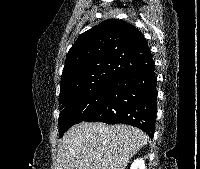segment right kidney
Segmentation results:
<instances>
[{
	"instance_id": "1",
	"label": "right kidney",
	"mask_w": 200,
	"mask_h": 169,
	"mask_svg": "<svg viewBox=\"0 0 200 169\" xmlns=\"http://www.w3.org/2000/svg\"><path fill=\"white\" fill-rule=\"evenodd\" d=\"M130 169H145V162H144V160L141 159V158L140 159H136L132 163Z\"/></svg>"
}]
</instances>
